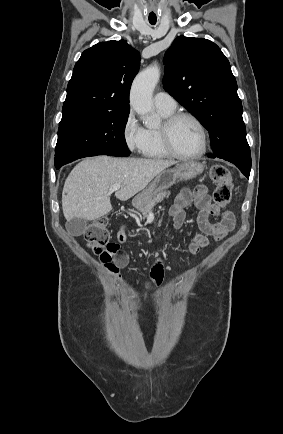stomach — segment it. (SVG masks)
I'll use <instances>...</instances> for the list:
<instances>
[{"mask_svg":"<svg viewBox=\"0 0 283 434\" xmlns=\"http://www.w3.org/2000/svg\"><path fill=\"white\" fill-rule=\"evenodd\" d=\"M204 166L198 162H183L159 173L151 184L133 199L137 208L148 204L155 196L175 184L177 179L190 180L201 174Z\"/></svg>","mask_w":283,"mask_h":434,"instance_id":"0dacf381","label":"stomach"}]
</instances>
